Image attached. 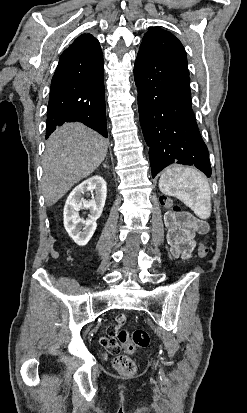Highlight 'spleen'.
<instances>
[{
	"instance_id": "obj_1",
	"label": "spleen",
	"mask_w": 247,
	"mask_h": 413,
	"mask_svg": "<svg viewBox=\"0 0 247 413\" xmlns=\"http://www.w3.org/2000/svg\"><path fill=\"white\" fill-rule=\"evenodd\" d=\"M159 188L164 194L177 196L200 219H208L211 209L209 182L197 168L178 166L166 168L159 180Z\"/></svg>"
}]
</instances>
